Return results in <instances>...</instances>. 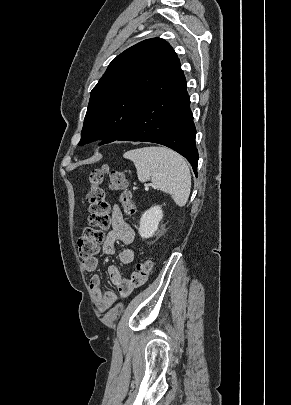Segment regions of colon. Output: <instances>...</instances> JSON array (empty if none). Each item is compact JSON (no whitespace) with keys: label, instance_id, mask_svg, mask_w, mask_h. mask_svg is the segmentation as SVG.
I'll use <instances>...</instances> for the list:
<instances>
[{"label":"colon","instance_id":"1","mask_svg":"<svg viewBox=\"0 0 291 405\" xmlns=\"http://www.w3.org/2000/svg\"><path fill=\"white\" fill-rule=\"evenodd\" d=\"M109 174L110 188L120 192V202L128 215L135 212L131 194L127 191V179L122 171L110 169L107 165L92 170L88 176L90 190L87 195L89 202L88 227L79 237L78 255L82 260L93 258L105 238L104 231L110 224V206L106 198V191L102 186L105 174ZM154 263L151 259L138 263L134 273L145 279L153 270Z\"/></svg>","mask_w":291,"mask_h":405}]
</instances>
